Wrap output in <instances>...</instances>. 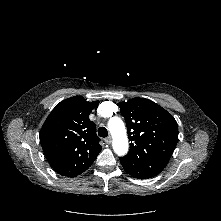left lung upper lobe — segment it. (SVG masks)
Here are the masks:
<instances>
[{"label":"left lung upper lobe","mask_w":221,"mask_h":221,"mask_svg":"<svg viewBox=\"0 0 221 221\" xmlns=\"http://www.w3.org/2000/svg\"><path fill=\"white\" fill-rule=\"evenodd\" d=\"M125 118L130 150L121 159L138 165H167L178 141L174 117L158 104L145 98L119 103Z\"/></svg>","instance_id":"left-lung-upper-lobe-1"}]
</instances>
